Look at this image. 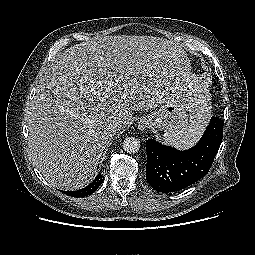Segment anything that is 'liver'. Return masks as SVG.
Wrapping results in <instances>:
<instances>
[{
	"label": "liver",
	"mask_w": 255,
	"mask_h": 255,
	"mask_svg": "<svg viewBox=\"0 0 255 255\" xmlns=\"http://www.w3.org/2000/svg\"><path fill=\"white\" fill-rule=\"evenodd\" d=\"M198 86L187 53L173 41L117 35L71 46L50 65L31 106L32 161L53 187L82 188L134 111L154 109L178 91L193 116ZM114 118L119 127L112 131Z\"/></svg>",
	"instance_id": "obj_1"
}]
</instances>
